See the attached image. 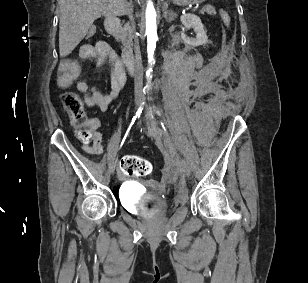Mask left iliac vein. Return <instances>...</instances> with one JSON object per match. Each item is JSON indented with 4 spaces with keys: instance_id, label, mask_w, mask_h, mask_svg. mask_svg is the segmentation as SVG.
<instances>
[{
    "instance_id": "1",
    "label": "left iliac vein",
    "mask_w": 308,
    "mask_h": 283,
    "mask_svg": "<svg viewBox=\"0 0 308 283\" xmlns=\"http://www.w3.org/2000/svg\"><path fill=\"white\" fill-rule=\"evenodd\" d=\"M146 125L149 129V131L152 133V135L157 140H163L164 143L168 144L170 141L167 138V136L164 134L160 124L152 119L147 120ZM180 172L183 176H189L190 175V167L185 161H181L179 166Z\"/></svg>"
}]
</instances>
